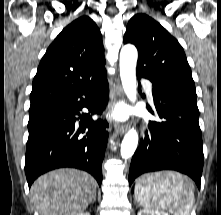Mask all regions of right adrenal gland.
<instances>
[{
    "label": "right adrenal gland",
    "mask_w": 221,
    "mask_h": 215,
    "mask_svg": "<svg viewBox=\"0 0 221 215\" xmlns=\"http://www.w3.org/2000/svg\"><path fill=\"white\" fill-rule=\"evenodd\" d=\"M96 201V194H95V196H94V200H93V202H95Z\"/></svg>",
    "instance_id": "obj_1"
}]
</instances>
